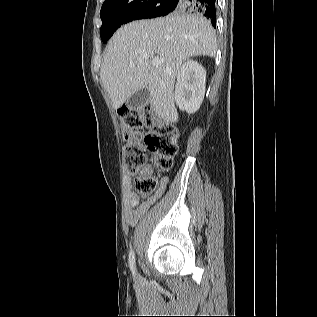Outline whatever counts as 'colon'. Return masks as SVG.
<instances>
[{"label":"colon","instance_id":"1","mask_svg":"<svg viewBox=\"0 0 317 317\" xmlns=\"http://www.w3.org/2000/svg\"><path fill=\"white\" fill-rule=\"evenodd\" d=\"M119 116L123 132L124 163L135 175L145 169L147 153L153 154L156 166L169 169L178 151L179 132L171 124L153 116L149 106L122 107ZM136 191L150 196L157 188V181L148 175H139L134 180Z\"/></svg>","mask_w":317,"mask_h":317}]
</instances>
